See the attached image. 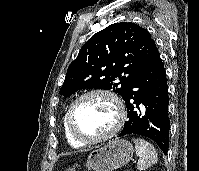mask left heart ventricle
<instances>
[{"label":"left heart ventricle","instance_id":"b2bd125f","mask_svg":"<svg viewBox=\"0 0 199 171\" xmlns=\"http://www.w3.org/2000/svg\"><path fill=\"white\" fill-rule=\"evenodd\" d=\"M117 119L115 106L104 96H91L78 103L73 123L85 137H98L109 132Z\"/></svg>","mask_w":199,"mask_h":171}]
</instances>
